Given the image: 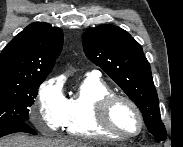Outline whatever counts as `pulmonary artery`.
<instances>
[{
    "mask_svg": "<svg viewBox=\"0 0 183 147\" xmlns=\"http://www.w3.org/2000/svg\"><path fill=\"white\" fill-rule=\"evenodd\" d=\"M100 72L98 70H92L87 73V76L93 77V78H99L100 77Z\"/></svg>",
    "mask_w": 183,
    "mask_h": 147,
    "instance_id": "pulmonary-artery-1",
    "label": "pulmonary artery"
}]
</instances>
